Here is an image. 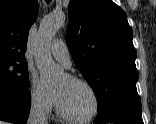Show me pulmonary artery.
Wrapping results in <instances>:
<instances>
[{
    "mask_svg": "<svg viewBox=\"0 0 156 124\" xmlns=\"http://www.w3.org/2000/svg\"><path fill=\"white\" fill-rule=\"evenodd\" d=\"M50 51L53 57L65 67L69 68L71 66L69 50L62 40H54L50 47Z\"/></svg>",
    "mask_w": 156,
    "mask_h": 124,
    "instance_id": "e3ab8cb5",
    "label": "pulmonary artery"
}]
</instances>
